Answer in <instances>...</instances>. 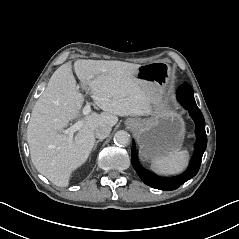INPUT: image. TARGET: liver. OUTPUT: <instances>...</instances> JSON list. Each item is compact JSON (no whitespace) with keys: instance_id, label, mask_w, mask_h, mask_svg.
Here are the masks:
<instances>
[{"instance_id":"1","label":"liver","mask_w":239,"mask_h":239,"mask_svg":"<svg viewBox=\"0 0 239 239\" xmlns=\"http://www.w3.org/2000/svg\"><path fill=\"white\" fill-rule=\"evenodd\" d=\"M141 65L122 61L85 60L74 62L81 88L98 97L94 103L104 112L91 113L74 139L62 134L71 119L79 115L84 97L78 91L72 65H61L35 103L27 127V142L37 171L54 185L66 187L71 172L86 162L95 144V129L113 127L117 116L153 114L162 89L137 79Z\"/></svg>"}]
</instances>
